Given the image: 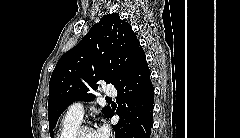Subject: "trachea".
<instances>
[{
    "mask_svg": "<svg viewBox=\"0 0 240 138\" xmlns=\"http://www.w3.org/2000/svg\"><path fill=\"white\" fill-rule=\"evenodd\" d=\"M107 101H111L112 99L111 98H106Z\"/></svg>",
    "mask_w": 240,
    "mask_h": 138,
    "instance_id": "obj_1",
    "label": "trachea"
}]
</instances>
